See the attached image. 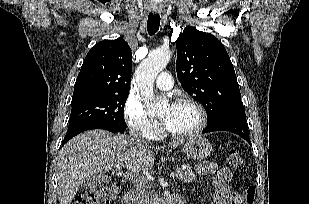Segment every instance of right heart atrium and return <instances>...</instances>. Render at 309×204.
Segmentation results:
<instances>
[{
  "label": "right heart atrium",
  "mask_w": 309,
  "mask_h": 204,
  "mask_svg": "<svg viewBox=\"0 0 309 204\" xmlns=\"http://www.w3.org/2000/svg\"><path fill=\"white\" fill-rule=\"evenodd\" d=\"M125 120L132 132L145 139L153 140L159 135L160 127L145 110L143 104L134 97H129L124 107Z\"/></svg>",
  "instance_id": "d8ad5b80"
}]
</instances>
